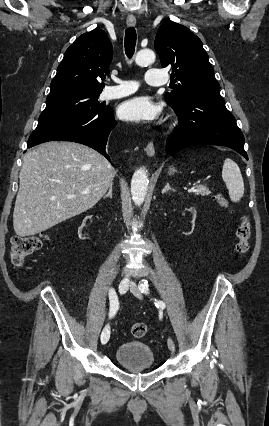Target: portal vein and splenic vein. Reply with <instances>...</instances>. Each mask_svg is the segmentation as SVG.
Returning a JSON list of instances; mask_svg holds the SVG:
<instances>
[{"instance_id": "portal-vein-and-splenic-vein-1", "label": "portal vein and splenic vein", "mask_w": 269, "mask_h": 426, "mask_svg": "<svg viewBox=\"0 0 269 426\" xmlns=\"http://www.w3.org/2000/svg\"><path fill=\"white\" fill-rule=\"evenodd\" d=\"M196 191H198V190L195 189V187H193V188H191V189L188 190V192H196ZM84 193H86V192H84Z\"/></svg>"}]
</instances>
